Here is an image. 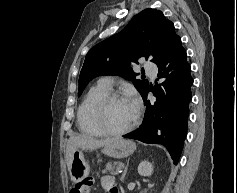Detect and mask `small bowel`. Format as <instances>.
Listing matches in <instances>:
<instances>
[{
	"label": "small bowel",
	"mask_w": 237,
	"mask_h": 193,
	"mask_svg": "<svg viewBox=\"0 0 237 193\" xmlns=\"http://www.w3.org/2000/svg\"><path fill=\"white\" fill-rule=\"evenodd\" d=\"M101 184L108 193H119L116 183L111 176H103Z\"/></svg>",
	"instance_id": "1"
}]
</instances>
